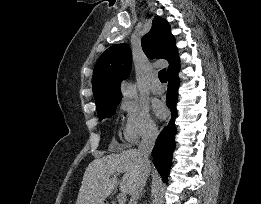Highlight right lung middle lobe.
<instances>
[{"label":"right lung middle lobe","instance_id":"obj_1","mask_svg":"<svg viewBox=\"0 0 261 204\" xmlns=\"http://www.w3.org/2000/svg\"><path fill=\"white\" fill-rule=\"evenodd\" d=\"M120 100L121 99L114 101V102H109V103H104V104L98 105L97 112H98L100 120L114 115L116 107L118 106Z\"/></svg>","mask_w":261,"mask_h":204}]
</instances>
